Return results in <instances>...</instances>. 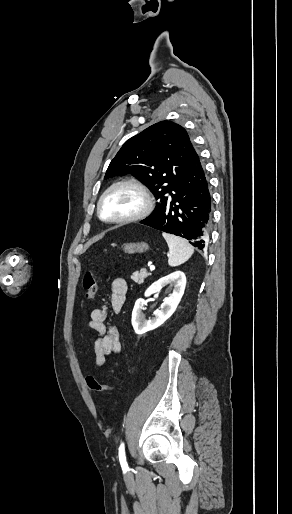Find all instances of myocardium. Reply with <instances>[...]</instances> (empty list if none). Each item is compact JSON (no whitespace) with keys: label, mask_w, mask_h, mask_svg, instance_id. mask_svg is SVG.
<instances>
[{"label":"myocardium","mask_w":292,"mask_h":514,"mask_svg":"<svg viewBox=\"0 0 292 514\" xmlns=\"http://www.w3.org/2000/svg\"><path fill=\"white\" fill-rule=\"evenodd\" d=\"M120 188H128V189H132V190L136 191L141 197V205L136 211H134L128 215L118 217V218H111V219L105 218L102 214L103 202L113 191L120 189ZM152 205H153V202H152L151 195H150L149 191L147 190V188L141 182L136 181V180H124V181H119V182H116V183L110 185L102 193V195L99 198L98 204H97V213H98L99 218L104 222L112 223V224H125V223L139 220V219L147 216L152 210Z\"/></svg>","instance_id":"f54148a6"}]
</instances>
